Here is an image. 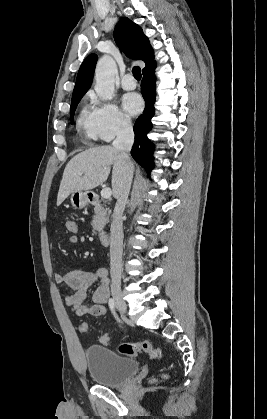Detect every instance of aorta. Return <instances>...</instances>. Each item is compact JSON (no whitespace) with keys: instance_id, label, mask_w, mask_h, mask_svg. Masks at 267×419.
<instances>
[{"instance_id":"obj_1","label":"aorta","mask_w":267,"mask_h":419,"mask_svg":"<svg viewBox=\"0 0 267 419\" xmlns=\"http://www.w3.org/2000/svg\"><path fill=\"white\" fill-rule=\"evenodd\" d=\"M117 67L114 59L109 55L101 57L95 69V91L104 100H111L115 90V76Z\"/></svg>"}]
</instances>
